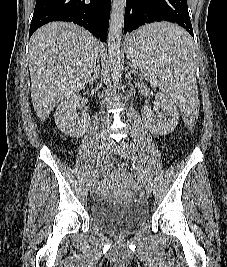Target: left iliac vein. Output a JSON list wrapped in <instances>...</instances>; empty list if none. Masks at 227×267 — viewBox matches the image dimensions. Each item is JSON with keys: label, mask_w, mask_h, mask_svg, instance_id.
<instances>
[{"label": "left iliac vein", "mask_w": 227, "mask_h": 267, "mask_svg": "<svg viewBox=\"0 0 227 267\" xmlns=\"http://www.w3.org/2000/svg\"><path fill=\"white\" fill-rule=\"evenodd\" d=\"M120 155L124 158L129 159L132 164L136 167V169L139 172V175L142 179L143 185L145 187V189L148 192L152 191V183L150 181V179L147 177V175L144 173L143 168H142V164L136 154V151L134 149V147L132 145H130L127 142H122L121 146L118 149Z\"/></svg>", "instance_id": "obj_1"}]
</instances>
